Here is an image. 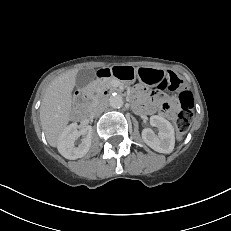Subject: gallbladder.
<instances>
[{
	"mask_svg": "<svg viewBox=\"0 0 231 231\" xmlns=\"http://www.w3.org/2000/svg\"><path fill=\"white\" fill-rule=\"evenodd\" d=\"M93 78V71L89 69H82L76 75V86L84 88Z\"/></svg>",
	"mask_w": 231,
	"mask_h": 231,
	"instance_id": "bac80fb5",
	"label": "gallbladder"
}]
</instances>
